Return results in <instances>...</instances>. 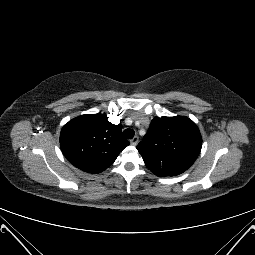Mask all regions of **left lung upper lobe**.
Segmentation results:
<instances>
[{"label": "left lung upper lobe", "mask_w": 255, "mask_h": 255, "mask_svg": "<svg viewBox=\"0 0 255 255\" xmlns=\"http://www.w3.org/2000/svg\"><path fill=\"white\" fill-rule=\"evenodd\" d=\"M202 137L187 117H155L137 145L147 168L159 177L176 176L197 159Z\"/></svg>", "instance_id": "1"}]
</instances>
